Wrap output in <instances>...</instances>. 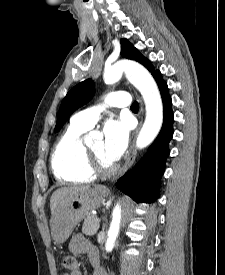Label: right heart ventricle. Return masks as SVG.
<instances>
[{
    "mask_svg": "<svg viewBox=\"0 0 225 275\" xmlns=\"http://www.w3.org/2000/svg\"><path fill=\"white\" fill-rule=\"evenodd\" d=\"M89 128L71 123L54 146L51 167L55 177L67 183H87L95 175L87 167L83 135Z\"/></svg>",
    "mask_w": 225,
    "mask_h": 275,
    "instance_id": "right-heart-ventricle-1",
    "label": "right heart ventricle"
}]
</instances>
